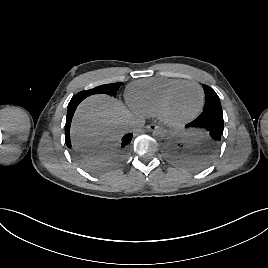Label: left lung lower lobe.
<instances>
[{
  "label": "left lung lower lobe",
  "instance_id": "left-lung-lower-lobe-1",
  "mask_svg": "<svg viewBox=\"0 0 268 268\" xmlns=\"http://www.w3.org/2000/svg\"><path fill=\"white\" fill-rule=\"evenodd\" d=\"M201 122L207 131V143L202 148L191 146L185 139V132L189 125ZM223 113L222 111H203L194 121L186 125V128L167 146L166 155L169 162L175 167L189 169L198 168L212 163L217 157L218 146L223 137Z\"/></svg>",
  "mask_w": 268,
  "mask_h": 268
}]
</instances>
